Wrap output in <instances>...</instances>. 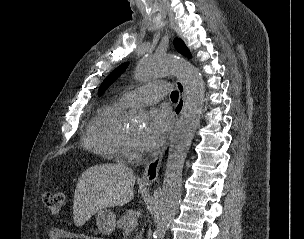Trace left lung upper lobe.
<instances>
[{
	"label": "left lung upper lobe",
	"instance_id": "5c2ea615",
	"mask_svg": "<svg viewBox=\"0 0 304 239\" xmlns=\"http://www.w3.org/2000/svg\"><path fill=\"white\" fill-rule=\"evenodd\" d=\"M174 45L181 54H183L187 57H191L189 50L187 49V47L185 46V44L183 43L182 40L175 39ZM127 66H128V63H123L122 65H120L118 68H116L114 71H112L106 77V79L103 81V83L101 84V86L99 88V91H98L99 96H101L104 93V91L108 88V86L116 80V78L124 71V69Z\"/></svg>",
	"mask_w": 304,
	"mask_h": 239
}]
</instances>
